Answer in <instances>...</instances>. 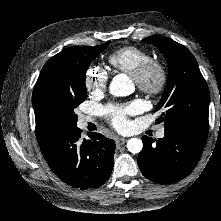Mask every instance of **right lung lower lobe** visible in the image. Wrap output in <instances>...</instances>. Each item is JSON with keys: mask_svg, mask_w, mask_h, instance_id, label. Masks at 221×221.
I'll return each mask as SVG.
<instances>
[{"mask_svg": "<svg viewBox=\"0 0 221 221\" xmlns=\"http://www.w3.org/2000/svg\"><path fill=\"white\" fill-rule=\"evenodd\" d=\"M81 138L77 127H65L40 145V150L52 171L74 188L99 187L110 177L115 142L99 133Z\"/></svg>", "mask_w": 221, "mask_h": 221, "instance_id": "right-lung-lower-lobe-1", "label": "right lung lower lobe"}]
</instances>
